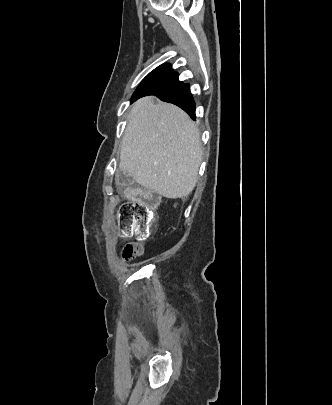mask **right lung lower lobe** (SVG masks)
<instances>
[{"label":"right lung lower lobe","instance_id":"obj_1","mask_svg":"<svg viewBox=\"0 0 332 405\" xmlns=\"http://www.w3.org/2000/svg\"><path fill=\"white\" fill-rule=\"evenodd\" d=\"M146 95H156L163 101L173 103L182 108L191 118L195 119V103L190 93L188 83H182L162 92L138 93L135 91L132 95L131 102Z\"/></svg>","mask_w":332,"mask_h":405}]
</instances>
